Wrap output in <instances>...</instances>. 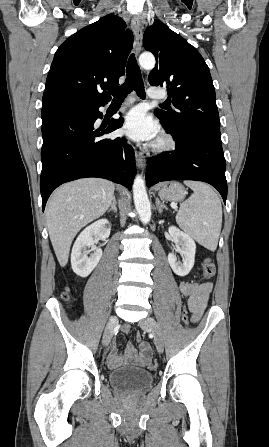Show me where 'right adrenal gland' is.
I'll return each mask as SVG.
<instances>
[{
  "instance_id": "1",
  "label": "right adrenal gland",
  "mask_w": 269,
  "mask_h": 447,
  "mask_svg": "<svg viewBox=\"0 0 269 447\" xmlns=\"http://www.w3.org/2000/svg\"><path fill=\"white\" fill-rule=\"evenodd\" d=\"M111 210H113V212H118V210H117V202H116L115 196H113L111 208H110V210H108V212H111Z\"/></svg>"
}]
</instances>
